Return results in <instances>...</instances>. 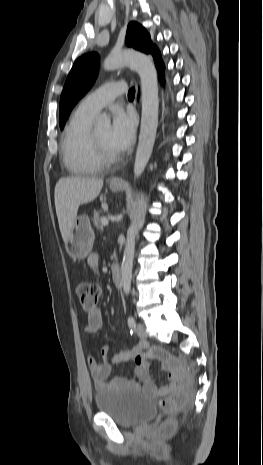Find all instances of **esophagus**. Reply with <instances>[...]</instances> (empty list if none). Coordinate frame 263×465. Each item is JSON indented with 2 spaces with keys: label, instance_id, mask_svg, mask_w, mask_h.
Instances as JSON below:
<instances>
[{
  "label": "esophagus",
  "instance_id": "obj_1",
  "mask_svg": "<svg viewBox=\"0 0 263 465\" xmlns=\"http://www.w3.org/2000/svg\"><path fill=\"white\" fill-rule=\"evenodd\" d=\"M120 182H121V179H119V178L113 179V180L111 181L112 184H118V183H120Z\"/></svg>",
  "mask_w": 263,
  "mask_h": 465
}]
</instances>
